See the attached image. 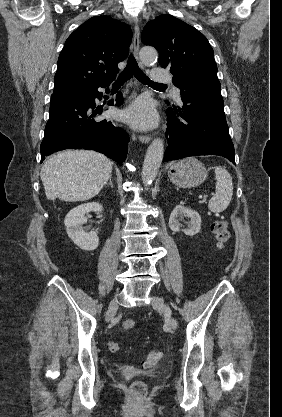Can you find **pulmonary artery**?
<instances>
[{"label":"pulmonary artery","instance_id":"e3ab8cb5","mask_svg":"<svg viewBox=\"0 0 282 417\" xmlns=\"http://www.w3.org/2000/svg\"><path fill=\"white\" fill-rule=\"evenodd\" d=\"M153 74L150 76L151 83H171V74H162L164 68L162 65H153L151 68ZM177 98H180L179 90L176 93Z\"/></svg>","mask_w":282,"mask_h":417}]
</instances>
